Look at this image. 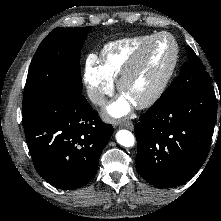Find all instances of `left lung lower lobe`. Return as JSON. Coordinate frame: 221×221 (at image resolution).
<instances>
[{
  "mask_svg": "<svg viewBox=\"0 0 221 221\" xmlns=\"http://www.w3.org/2000/svg\"><path fill=\"white\" fill-rule=\"evenodd\" d=\"M216 110L212 85L162 95L134 128L139 175L161 188L181 185L193 177L207 158Z\"/></svg>",
  "mask_w": 221,
  "mask_h": 221,
  "instance_id": "0a47b994",
  "label": "left lung lower lobe"
}]
</instances>
